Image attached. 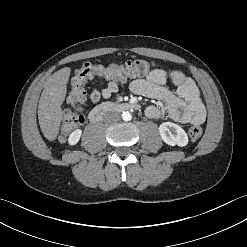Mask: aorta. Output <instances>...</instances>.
I'll use <instances>...</instances> for the list:
<instances>
[{"label":"aorta","instance_id":"obj_1","mask_svg":"<svg viewBox=\"0 0 247 247\" xmlns=\"http://www.w3.org/2000/svg\"><path fill=\"white\" fill-rule=\"evenodd\" d=\"M131 118H132V116H131V114H130L129 111H124V112L122 113V119H123L124 121H130Z\"/></svg>","mask_w":247,"mask_h":247}]
</instances>
